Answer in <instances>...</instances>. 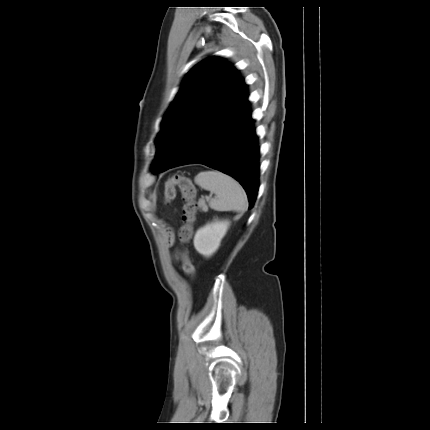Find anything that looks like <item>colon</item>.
<instances>
[{
    "instance_id": "colon-1",
    "label": "colon",
    "mask_w": 430,
    "mask_h": 430,
    "mask_svg": "<svg viewBox=\"0 0 430 430\" xmlns=\"http://www.w3.org/2000/svg\"><path fill=\"white\" fill-rule=\"evenodd\" d=\"M177 188L180 189L183 199L182 220L184 224L180 231V238L183 242H187L192 236L197 214L196 188L190 178L183 174H176L166 183L164 191L166 203H171L175 199ZM182 269L188 277L192 279L195 277V266L187 251L182 254Z\"/></svg>"
}]
</instances>
